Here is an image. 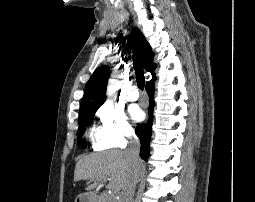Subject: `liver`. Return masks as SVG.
Returning a JSON list of instances; mask_svg holds the SVG:
<instances>
[{"mask_svg":"<svg viewBox=\"0 0 255 202\" xmlns=\"http://www.w3.org/2000/svg\"><path fill=\"white\" fill-rule=\"evenodd\" d=\"M141 170V163L139 165ZM134 167L125 151L93 153L81 158L75 167L74 181L91 179L87 190L101 187L107 179V188L115 193L123 190L131 180Z\"/></svg>","mask_w":255,"mask_h":202,"instance_id":"obj_1","label":"liver"}]
</instances>
